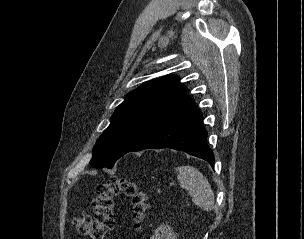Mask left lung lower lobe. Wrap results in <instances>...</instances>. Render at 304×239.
Listing matches in <instances>:
<instances>
[{
  "instance_id": "0a47b994",
  "label": "left lung lower lobe",
  "mask_w": 304,
  "mask_h": 239,
  "mask_svg": "<svg viewBox=\"0 0 304 239\" xmlns=\"http://www.w3.org/2000/svg\"><path fill=\"white\" fill-rule=\"evenodd\" d=\"M202 121V113L194 103L158 127L130 151L171 148L202 158L214 168V155L207 145V131Z\"/></svg>"
}]
</instances>
